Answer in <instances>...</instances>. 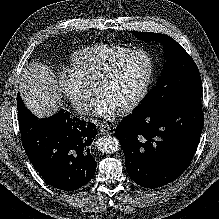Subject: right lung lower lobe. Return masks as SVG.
Here are the masks:
<instances>
[{"label": "right lung lower lobe", "mask_w": 219, "mask_h": 219, "mask_svg": "<svg viewBox=\"0 0 219 219\" xmlns=\"http://www.w3.org/2000/svg\"><path fill=\"white\" fill-rule=\"evenodd\" d=\"M17 109L25 152L48 184L73 191L93 178L97 165L89 151L97 134L93 123L70 116L63 109L49 118L38 119L19 94Z\"/></svg>", "instance_id": "98d812e1"}]
</instances>
